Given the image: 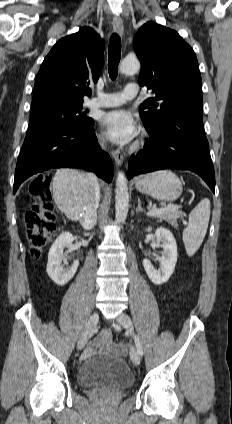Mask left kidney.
I'll use <instances>...</instances> for the list:
<instances>
[{"label": "left kidney", "instance_id": "1", "mask_svg": "<svg viewBox=\"0 0 232 424\" xmlns=\"http://www.w3.org/2000/svg\"><path fill=\"white\" fill-rule=\"evenodd\" d=\"M152 228L148 227L146 231L150 232ZM157 242H162V257L159 259L160 267L154 268L148 259L143 260V266L149 279L156 285H161L168 281L174 272L177 262L176 240L170 230L159 227L155 231Z\"/></svg>", "mask_w": 232, "mask_h": 424}]
</instances>
